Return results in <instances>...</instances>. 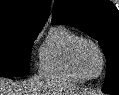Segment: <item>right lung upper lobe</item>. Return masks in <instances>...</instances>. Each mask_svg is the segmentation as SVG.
Listing matches in <instances>:
<instances>
[{
    "label": "right lung upper lobe",
    "instance_id": "right-lung-upper-lobe-1",
    "mask_svg": "<svg viewBox=\"0 0 119 95\" xmlns=\"http://www.w3.org/2000/svg\"><path fill=\"white\" fill-rule=\"evenodd\" d=\"M51 0H0V33L12 28L42 29Z\"/></svg>",
    "mask_w": 119,
    "mask_h": 95
}]
</instances>
